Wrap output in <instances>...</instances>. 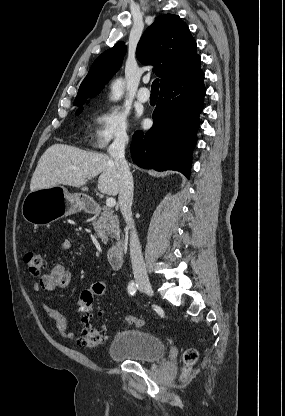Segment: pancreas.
Listing matches in <instances>:
<instances>
[{"instance_id":"pancreas-1","label":"pancreas","mask_w":285,"mask_h":416,"mask_svg":"<svg viewBox=\"0 0 285 416\" xmlns=\"http://www.w3.org/2000/svg\"><path fill=\"white\" fill-rule=\"evenodd\" d=\"M102 210H104V212H101V216H99L98 220H93L92 226L96 232V236L101 238L104 244H107L110 234H113V232H120L119 220L117 216H113V212L108 206H104Z\"/></svg>"}]
</instances>
